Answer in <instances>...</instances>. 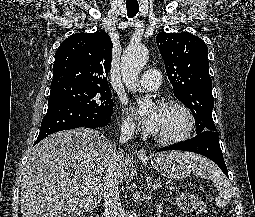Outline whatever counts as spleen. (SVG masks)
Returning a JSON list of instances; mask_svg holds the SVG:
<instances>
[{"mask_svg": "<svg viewBox=\"0 0 255 217\" xmlns=\"http://www.w3.org/2000/svg\"><path fill=\"white\" fill-rule=\"evenodd\" d=\"M183 155L190 160L194 173L208 178L216 184L217 190L219 192L217 204L220 207L226 206L232 197V186L231 183L218 169V167L213 162L202 156L189 153H185Z\"/></svg>", "mask_w": 255, "mask_h": 217, "instance_id": "1", "label": "spleen"}]
</instances>
